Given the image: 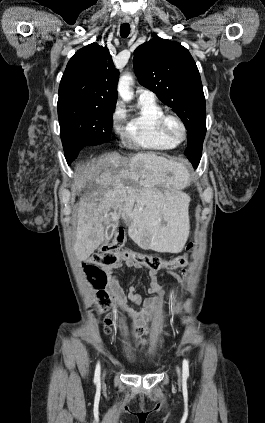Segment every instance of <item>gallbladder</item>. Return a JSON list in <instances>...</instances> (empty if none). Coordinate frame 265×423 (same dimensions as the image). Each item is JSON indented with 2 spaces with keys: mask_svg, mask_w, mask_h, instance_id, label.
I'll use <instances>...</instances> for the list:
<instances>
[{
  "mask_svg": "<svg viewBox=\"0 0 265 423\" xmlns=\"http://www.w3.org/2000/svg\"><path fill=\"white\" fill-rule=\"evenodd\" d=\"M118 222H114L112 225L107 226L106 229V240H110L113 236L114 230L117 228Z\"/></svg>",
  "mask_w": 265,
  "mask_h": 423,
  "instance_id": "obj_1",
  "label": "gallbladder"
}]
</instances>
